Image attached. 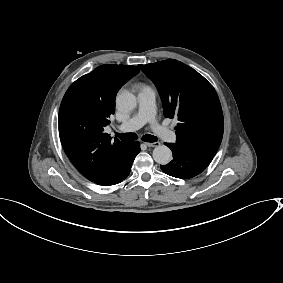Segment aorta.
<instances>
[{"instance_id":"1","label":"aorta","mask_w":283,"mask_h":283,"mask_svg":"<svg viewBox=\"0 0 283 283\" xmlns=\"http://www.w3.org/2000/svg\"><path fill=\"white\" fill-rule=\"evenodd\" d=\"M116 103L121 109L132 110L136 107L137 100L132 93L123 91L118 94ZM152 156L155 162L166 165L172 160V151L167 146L160 145L154 148Z\"/></svg>"}]
</instances>
